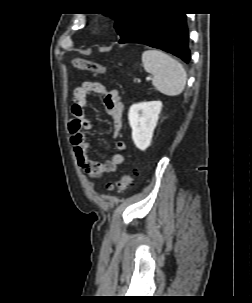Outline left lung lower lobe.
Returning a JSON list of instances; mask_svg holds the SVG:
<instances>
[{"mask_svg": "<svg viewBox=\"0 0 252 303\" xmlns=\"http://www.w3.org/2000/svg\"><path fill=\"white\" fill-rule=\"evenodd\" d=\"M186 16L183 13L146 12L119 43H140L169 52L190 62Z\"/></svg>", "mask_w": 252, "mask_h": 303, "instance_id": "left-lung-lower-lobe-1", "label": "left lung lower lobe"}]
</instances>
